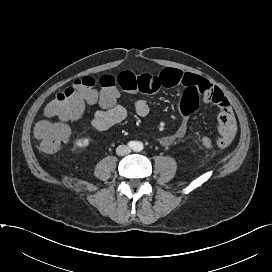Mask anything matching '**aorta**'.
<instances>
[{
    "mask_svg": "<svg viewBox=\"0 0 272 272\" xmlns=\"http://www.w3.org/2000/svg\"><path fill=\"white\" fill-rule=\"evenodd\" d=\"M143 149V144L141 142H137V146L135 148L136 151H141Z\"/></svg>",
    "mask_w": 272,
    "mask_h": 272,
    "instance_id": "1",
    "label": "aorta"
}]
</instances>
